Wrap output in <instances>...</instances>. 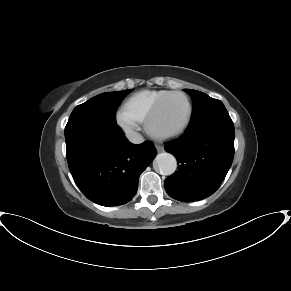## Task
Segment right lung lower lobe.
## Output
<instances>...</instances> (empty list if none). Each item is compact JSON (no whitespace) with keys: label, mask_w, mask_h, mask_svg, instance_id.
I'll return each instance as SVG.
<instances>
[{"label":"right lung lower lobe","mask_w":291,"mask_h":291,"mask_svg":"<svg viewBox=\"0 0 291 291\" xmlns=\"http://www.w3.org/2000/svg\"><path fill=\"white\" fill-rule=\"evenodd\" d=\"M66 156L82 193L102 206H118L136 194L140 174L156 156L152 143L131 144L116 122L76 117L65 127Z\"/></svg>","instance_id":"obj_1"}]
</instances>
